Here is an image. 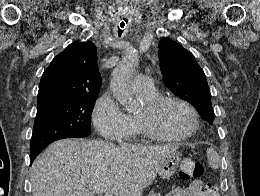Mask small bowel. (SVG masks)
Segmentation results:
<instances>
[{
	"label": "small bowel",
	"instance_id": "obj_1",
	"mask_svg": "<svg viewBox=\"0 0 260 196\" xmlns=\"http://www.w3.org/2000/svg\"><path fill=\"white\" fill-rule=\"evenodd\" d=\"M166 196H211L208 186L201 179H194L184 186L173 188Z\"/></svg>",
	"mask_w": 260,
	"mask_h": 196
}]
</instances>
